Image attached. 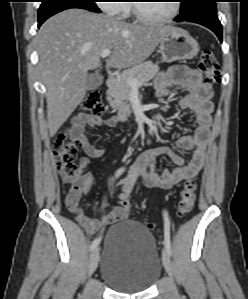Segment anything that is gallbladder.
Returning <instances> with one entry per match:
<instances>
[{
	"mask_svg": "<svg viewBox=\"0 0 248 299\" xmlns=\"http://www.w3.org/2000/svg\"><path fill=\"white\" fill-rule=\"evenodd\" d=\"M103 83V76L99 73L90 74L86 80V87L88 90H95Z\"/></svg>",
	"mask_w": 248,
	"mask_h": 299,
	"instance_id": "gallbladder-1",
	"label": "gallbladder"
}]
</instances>
